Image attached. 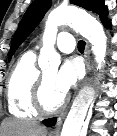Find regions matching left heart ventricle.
<instances>
[{"label":"left heart ventricle","mask_w":117,"mask_h":136,"mask_svg":"<svg viewBox=\"0 0 117 136\" xmlns=\"http://www.w3.org/2000/svg\"><path fill=\"white\" fill-rule=\"evenodd\" d=\"M43 76L45 81L43 89V101L48 108H53L60 103L63 97V95L56 90L54 85L56 71H46Z\"/></svg>","instance_id":"left-heart-ventricle-1"}]
</instances>
